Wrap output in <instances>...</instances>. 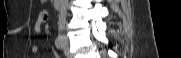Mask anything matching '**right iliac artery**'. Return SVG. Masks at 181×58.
Returning a JSON list of instances; mask_svg holds the SVG:
<instances>
[{"mask_svg": "<svg viewBox=\"0 0 181 58\" xmlns=\"http://www.w3.org/2000/svg\"><path fill=\"white\" fill-rule=\"evenodd\" d=\"M55 46L58 49H62L63 48V38L61 36H58L55 40Z\"/></svg>", "mask_w": 181, "mask_h": 58, "instance_id": "82829eb1", "label": "right iliac artery"}]
</instances>
